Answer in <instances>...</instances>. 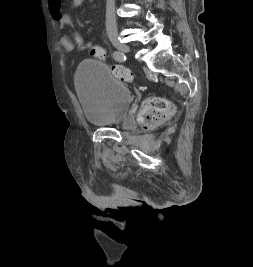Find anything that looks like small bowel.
<instances>
[{
  "label": "small bowel",
  "instance_id": "obj_1",
  "mask_svg": "<svg viewBox=\"0 0 253 267\" xmlns=\"http://www.w3.org/2000/svg\"><path fill=\"white\" fill-rule=\"evenodd\" d=\"M71 1L74 7H81L86 3L87 0H71ZM48 6L50 14L55 21L59 23L65 21V14L61 8V0H48ZM75 32L76 31H73V34ZM59 44L67 52H71L75 49L72 38L67 33L60 34Z\"/></svg>",
  "mask_w": 253,
  "mask_h": 267
}]
</instances>
